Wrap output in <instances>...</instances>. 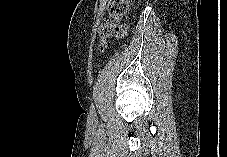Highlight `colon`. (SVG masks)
I'll return each instance as SVG.
<instances>
[{
  "label": "colon",
  "instance_id": "1",
  "mask_svg": "<svg viewBox=\"0 0 227 157\" xmlns=\"http://www.w3.org/2000/svg\"><path fill=\"white\" fill-rule=\"evenodd\" d=\"M130 0H114L110 8L109 14L105 21L100 25L99 33V45L103 49L106 47V43L109 39L113 38L118 30L120 20L125 14Z\"/></svg>",
  "mask_w": 227,
  "mask_h": 157
}]
</instances>
